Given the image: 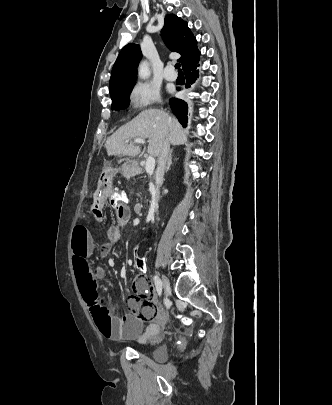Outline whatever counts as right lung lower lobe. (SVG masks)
Here are the masks:
<instances>
[{"instance_id": "right-lung-lower-lobe-1", "label": "right lung lower lobe", "mask_w": 332, "mask_h": 405, "mask_svg": "<svg viewBox=\"0 0 332 405\" xmlns=\"http://www.w3.org/2000/svg\"><path fill=\"white\" fill-rule=\"evenodd\" d=\"M197 59L196 61L186 65L183 70L186 77V88L190 87L198 77V71H196L197 67ZM171 109L175 116L178 118L179 122L186 127L187 125V114H188V105L184 100L172 98L169 100Z\"/></svg>"}]
</instances>
